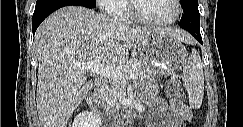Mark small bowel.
<instances>
[{"label": "small bowel", "mask_w": 243, "mask_h": 127, "mask_svg": "<svg viewBox=\"0 0 243 127\" xmlns=\"http://www.w3.org/2000/svg\"><path fill=\"white\" fill-rule=\"evenodd\" d=\"M147 102L154 110L148 127H185L192 123L193 113L188 105L178 99L169 102L156 98L148 89Z\"/></svg>", "instance_id": "small-bowel-1"}]
</instances>
